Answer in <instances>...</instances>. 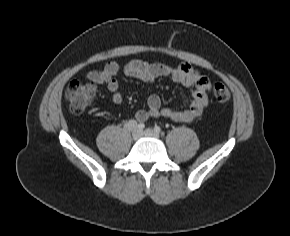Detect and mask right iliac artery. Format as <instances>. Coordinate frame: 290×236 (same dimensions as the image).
<instances>
[{
  "label": "right iliac artery",
  "instance_id": "right-iliac-artery-1",
  "mask_svg": "<svg viewBox=\"0 0 290 236\" xmlns=\"http://www.w3.org/2000/svg\"><path fill=\"white\" fill-rule=\"evenodd\" d=\"M139 131H142L144 128H145V124L144 123H139L137 124V127H136Z\"/></svg>",
  "mask_w": 290,
  "mask_h": 236
}]
</instances>
